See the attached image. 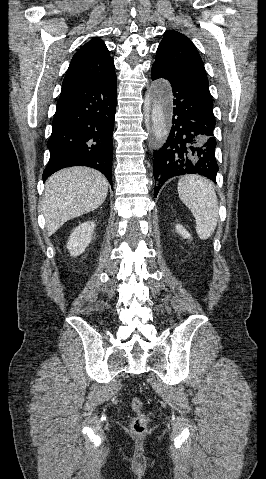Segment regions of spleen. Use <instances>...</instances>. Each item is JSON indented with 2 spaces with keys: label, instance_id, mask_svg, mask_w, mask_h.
I'll return each instance as SVG.
<instances>
[{
  "label": "spleen",
  "instance_id": "3e777b00",
  "mask_svg": "<svg viewBox=\"0 0 266 479\" xmlns=\"http://www.w3.org/2000/svg\"><path fill=\"white\" fill-rule=\"evenodd\" d=\"M178 194L195 218L199 238H210L217 226L219 208L212 182L198 175L184 176L179 180Z\"/></svg>",
  "mask_w": 266,
  "mask_h": 479
}]
</instances>
